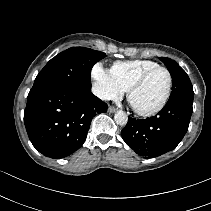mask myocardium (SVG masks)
<instances>
[{"instance_id": "myocardium-1", "label": "myocardium", "mask_w": 211, "mask_h": 211, "mask_svg": "<svg viewBox=\"0 0 211 211\" xmlns=\"http://www.w3.org/2000/svg\"><path fill=\"white\" fill-rule=\"evenodd\" d=\"M157 70H163L166 72L167 76H168V84H167V90L166 93L162 99V101L153 109L150 110H146V111H142V110H138L136 108L133 107L132 103H131V98L133 93L138 90L143 84L144 82L147 80V78L155 71ZM172 83H173V78H172V74L169 71V69H167L166 67L163 66H156L153 68L148 69L147 71H145L143 74H141L134 82L133 84L129 87V89L127 90V99L129 101V103L132 105L134 111L142 117H151L154 116L156 114H158L167 104L170 95H171V90H172Z\"/></svg>"}]
</instances>
